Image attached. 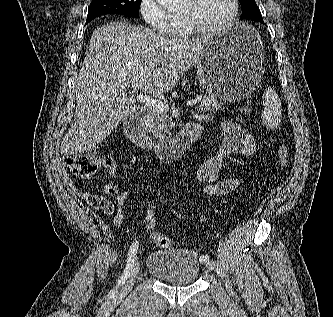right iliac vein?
<instances>
[{
  "label": "right iliac vein",
  "instance_id": "63e3f726",
  "mask_svg": "<svg viewBox=\"0 0 333 317\" xmlns=\"http://www.w3.org/2000/svg\"><path fill=\"white\" fill-rule=\"evenodd\" d=\"M139 271H140V263L137 261L132 269V272L128 280L118 293L117 298L121 299L125 297L132 290L134 283L138 277Z\"/></svg>",
  "mask_w": 333,
  "mask_h": 317
}]
</instances>
